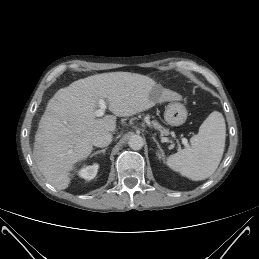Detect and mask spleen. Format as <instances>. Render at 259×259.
I'll return each mask as SVG.
<instances>
[{
    "instance_id": "obj_1",
    "label": "spleen",
    "mask_w": 259,
    "mask_h": 259,
    "mask_svg": "<svg viewBox=\"0 0 259 259\" xmlns=\"http://www.w3.org/2000/svg\"><path fill=\"white\" fill-rule=\"evenodd\" d=\"M226 139L223 115L212 112L201 124L198 134L191 137V146L170 155L166 164L193 181L210 177L222 159Z\"/></svg>"
}]
</instances>
